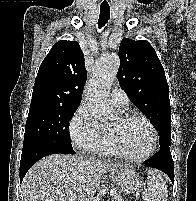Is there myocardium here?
Masks as SVG:
<instances>
[{
    "mask_svg": "<svg viewBox=\"0 0 196 201\" xmlns=\"http://www.w3.org/2000/svg\"><path fill=\"white\" fill-rule=\"evenodd\" d=\"M120 120L123 123H130V122H134V121L144 122L151 130L152 145L145 154H143L141 156H132L123 149L118 137L112 131H110V133H109L110 139H111V142L113 144L116 154L124 160H127L129 162H135V163L144 162V161L148 160L150 157H152L157 149L158 140H159L157 129H156L155 125L152 123V121L143 115H137V114L121 116Z\"/></svg>",
    "mask_w": 196,
    "mask_h": 201,
    "instance_id": "1",
    "label": "myocardium"
}]
</instances>
